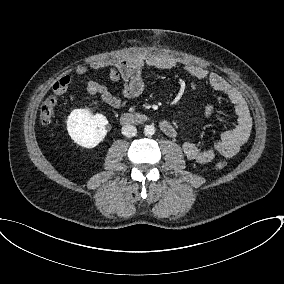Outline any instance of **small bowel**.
<instances>
[{
  "label": "small bowel",
  "mask_w": 284,
  "mask_h": 284,
  "mask_svg": "<svg viewBox=\"0 0 284 284\" xmlns=\"http://www.w3.org/2000/svg\"><path fill=\"white\" fill-rule=\"evenodd\" d=\"M177 64V60L168 54H139L126 60L95 61L91 63V68L95 70L107 69L109 80L111 82L121 80L123 89L119 95H115L104 84L91 81L88 83L86 91L91 96L99 95L106 104L118 108L127 100L143 93L145 89V81L142 75L144 68L171 69ZM184 70L188 75L205 82L212 89L222 93L232 104L236 118L235 124L224 130L220 137L206 149L200 148L192 141L184 142L182 149L185 156L199 164L210 163L217 156L227 158L235 156L251 133L252 118L247 103L240 92L223 76L193 64L185 65ZM87 73L88 67H78L57 79L52 86L53 91L57 95L63 94L75 76H82ZM213 110L212 105H207L205 114L210 116Z\"/></svg>",
  "instance_id": "c3829d8e"
}]
</instances>
